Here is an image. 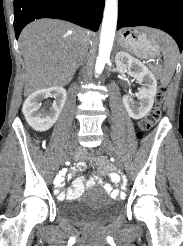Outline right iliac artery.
Here are the masks:
<instances>
[{
	"mask_svg": "<svg viewBox=\"0 0 183 246\" xmlns=\"http://www.w3.org/2000/svg\"><path fill=\"white\" fill-rule=\"evenodd\" d=\"M62 176V172L59 173V175L56 177L55 181H54V184L57 185L59 182H60V178Z\"/></svg>",
	"mask_w": 183,
	"mask_h": 246,
	"instance_id": "1",
	"label": "right iliac artery"
}]
</instances>
